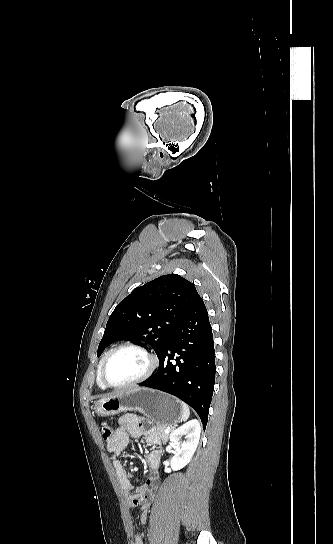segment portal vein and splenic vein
Returning a JSON list of instances; mask_svg holds the SVG:
<instances>
[{"mask_svg": "<svg viewBox=\"0 0 333 544\" xmlns=\"http://www.w3.org/2000/svg\"><path fill=\"white\" fill-rule=\"evenodd\" d=\"M165 432H166V433H169V432H170V429L167 428V429L165 430Z\"/></svg>", "mask_w": 333, "mask_h": 544, "instance_id": "portal-vein-and-splenic-vein-1", "label": "portal vein and splenic vein"}]
</instances>
